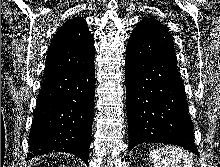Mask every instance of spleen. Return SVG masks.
<instances>
[{"label":"spleen","instance_id":"1","mask_svg":"<svg viewBox=\"0 0 220 167\" xmlns=\"http://www.w3.org/2000/svg\"><path fill=\"white\" fill-rule=\"evenodd\" d=\"M155 167H194L192 156L176 146H165L150 152Z\"/></svg>","mask_w":220,"mask_h":167}]
</instances>
